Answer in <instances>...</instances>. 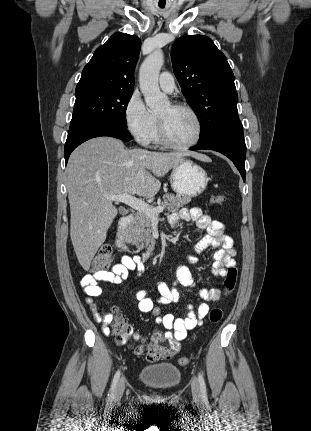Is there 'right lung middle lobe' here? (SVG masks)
<instances>
[{
  "instance_id": "obj_1",
  "label": "right lung middle lobe",
  "mask_w": 311,
  "mask_h": 431,
  "mask_svg": "<svg viewBox=\"0 0 311 431\" xmlns=\"http://www.w3.org/2000/svg\"><path fill=\"white\" fill-rule=\"evenodd\" d=\"M132 93L99 88L76 91L70 127L91 120L127 126L126 108Z\"/></svg>"
}]
</instances>
